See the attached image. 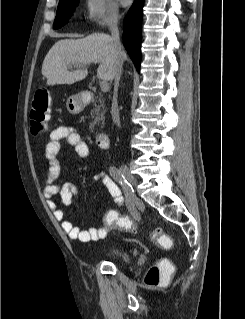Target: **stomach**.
Masks as SVG:
<instances>
[{
    "mask_svg": "<svg viewBox=\"0 0 245 319\" xmlns=\"http://www.w3.org/2000/svg\"><path fill=\"white\" fill-rule=\"evenodd\" d=\"M84 107L85 103L80 94L72 95L67 99L66 108L71 114H79Z\"/></svg>",
    "mask_w": 245,
    "mask_h": 319,
    "instance_id": "obj_1",
    "label": "stomach"
}]
</instances>
